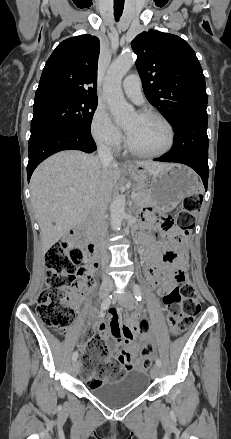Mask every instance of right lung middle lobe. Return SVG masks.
Masks as SVG:
<instances>
[{
  "label": "right lung middle lobe",
  "instance_id": "dd1d6c3e",
  "mask_svg": "<svg viewBox=\"0 0 231 439\" xmlns=\"http://www.w3.org/2000/svg\"><path fill=\"white\" fill-rule=\"evenodd\" d=\"M97 104V98L72 94H53L35 99L31 136L60 125L90 131Z\"/></svg>",
  "mask_w": 231,
  "mask_h": 439
}]
</instances>
